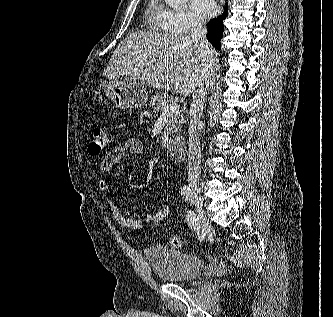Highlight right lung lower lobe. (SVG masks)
<instances>
[{
    "instance_id": "obj_1",
    "label": "right lung lower lobe",
    "mask_w": 333,
    "mask_h": 317,
    "mask_svg": "<svg viewBox=\"0 0 333 317\" xmlns=\"http://www.w3.org/2000/svg\"><path fill=\"white\" fill-rule=\"evenodd\" d=\"M228 14V4L224 9V13L219 16L217 19L210 20L207 24L208 33L207 38L209 42L217 49L221 48V38L224 30L223 20Z\"/></svg>"
}]
</instances>
